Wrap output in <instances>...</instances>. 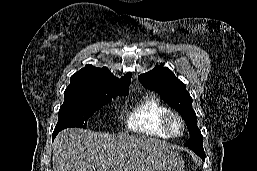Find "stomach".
I'll return each mask as SVG.
<instances>
[{
    "instance_id": "1",
    "label": "stomach",
    "mask_w": 257,
    "mask_h": 171,
    "mask_svg": "<svg viewBox=\"0 0 257 171\" xmlns=\"http://www.w3.org/2000/svg\"><path fill=\"white\" fill-rule=\"evenodd\" d=\"M142 171H184V162L173 151H154L147 156Z\"/></svg>"
}]
</instances>
